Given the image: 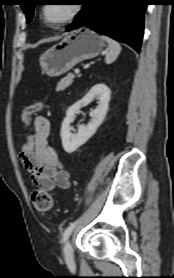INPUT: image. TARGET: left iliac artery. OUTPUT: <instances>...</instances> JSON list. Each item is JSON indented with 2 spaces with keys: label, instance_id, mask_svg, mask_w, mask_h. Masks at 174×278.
<instances>
[{
  "label": "left iliac artery",
  "instance_id": "obj_1",
  "mask_svg": "<svg viewBox=\"0 0 174 278\" xmlns=\"http://www.w3.org/2000/svg\"><path fill=\"white\" fill-rule=\"evenodd\" d=\"M80 220H81V218L77 219L76 221L72 222V223L66 228V230H65L64 233H63V238H62V241H63V242H65V241L69 238L71 232L73 231V229L75 228V226L80 222Z\"/></svg>",
  "mask_w": 174,
  "mask_h": 278
}]
</instances>
